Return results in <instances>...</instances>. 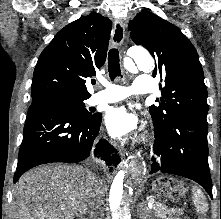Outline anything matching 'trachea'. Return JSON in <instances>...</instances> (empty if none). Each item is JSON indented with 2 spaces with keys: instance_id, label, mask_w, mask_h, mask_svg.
Instances as JSON below:
<instances>
[{
  "instance_id": "obj_1",
  "label": "trachea",
  "mask_w": 221,
  "mask_h": 219,
  "mask_svg": "<svg viewBox=\"0 0 221 219\" xmlns=\"http://www.w3.org/2000/svg\"><path fill=\"white\" fill-rule=\"evenodd\" d=\"M108 72L111 80L121 76L119 52L112 48L108 53Z\"/></svg>"
}]
</instances>
